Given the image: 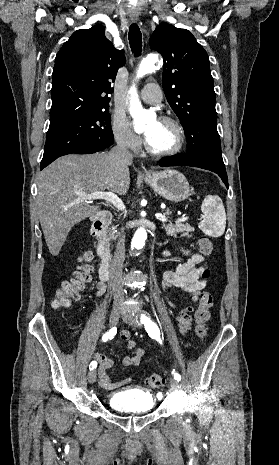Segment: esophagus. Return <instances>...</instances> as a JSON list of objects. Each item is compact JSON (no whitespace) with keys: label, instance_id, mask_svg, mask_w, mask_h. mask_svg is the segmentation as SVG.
Listing matches in <instances>:
<instances>
[{"label":"esophagus","instance_id":"1","mask_svg":"<svg viewBox=\"0 0 279 465\" xmlns=\"http://www.w3.org/2000/svg\"><path fill=\"white\" fill-rule=\"evenodd\" d=\"M129 18H130V20H131L132 22H137L138 19H139V15H138V14H130V15H129ZM144 173H145L146 175H148L150 172H149L147 169H145V170H144Z\"/></svg>","mask_w":279,"mask_h":465}]
</instances>
